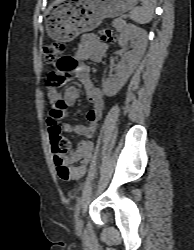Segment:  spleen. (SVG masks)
I'll return each mask as SVG.
<instances>
[{"mask_svg":"<svg viewBox=\"0 0 194 250\" xmlns=\"http://www.w3.org/2000/svg\"><path fill=\"white\" fill-rule=\"evenodd\" d=\"M142 6L130 12V19L139 24L149 23L153 18L155 0H141Z\"/></svg>","mask_w":194,"mask_h":250,"instance_id":"3e777b00","label":"spleen"}]
</instances>
